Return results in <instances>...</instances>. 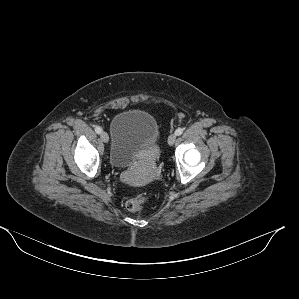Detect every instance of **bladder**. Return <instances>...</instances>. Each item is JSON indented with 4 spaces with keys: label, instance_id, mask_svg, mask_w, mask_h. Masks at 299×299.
Masks as SVG:
<instances>
[{
    "label": "bladder",
    "instance_id": "1",
    "mask_svg": "<svg viewBox=\"0 0 299 299\" xmlns=\"http://www.w3.org/2000/svg\"><path fill=\"white\" fill-rule=\"evenodd\" d=\"M111 136L110 163L115 168L131 167L144 152L160 153L159 125L146 111L133 109L116 115Z\"/></svg>",
    "mask_w": 299,
    "mask_h": 299
}]
</instances>
